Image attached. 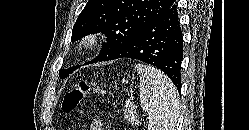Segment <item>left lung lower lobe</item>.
I'll return each mask as SVG.
<instances>
[{"mask_svg": "<svg viewBox=\"0 0 249 130\" xmlns=\"http://www.w3.org/2000/svg\"><path fill=\"white\" fill-rule=\"evenodd\" d=\"M131 58L156 66L181 91L183 37L175 3L145 24L110 60Z\"/></svg>", "mask_w": 249, "mask_h": 130, "instance_id": "1", "label": "left lung lower lobe"}]
</instances>
